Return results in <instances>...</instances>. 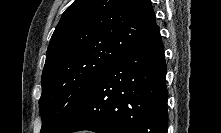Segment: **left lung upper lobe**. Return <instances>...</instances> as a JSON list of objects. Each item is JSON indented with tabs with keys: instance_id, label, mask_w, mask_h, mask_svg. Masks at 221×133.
Returning a JSON list of instances; mask_svg holds the SVG:
<instances>
[{
	"instance_id": "5c2ea615",
	"label": "left lung upper lobe",
	"mask_w": 221,
	"mask_h": 133,
	"mask_svg": "<svg viewBox=\"0 0 221 133\" xmlns=\"http://www.w3.org/2000/svg\"><path fill=\"white\" fill-rule=\"evenodd\" d=\"M154 26L150 0H75L47 49L39 100L41 133L58 132L106 68Z\"/></svg>"
}]
</instances>
